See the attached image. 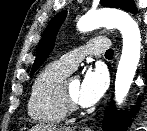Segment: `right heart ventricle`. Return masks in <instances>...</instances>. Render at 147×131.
<instances>
[{
	"mask_svg": "<svg viewBox=\"0 0 147 131\" xmlns=\"http://www.w3.org/2000/svg\"><path fill=\"white\" fill-rule=\"evenodd\" d=\"M70 71L55 61L43 67L35 77L27 104L29 116L38 123L56 124L67 115L61 98V84Z\"/></svg>",
	"mask_w": 147,
	"mask_h": 131,
	"instance_id": "right-heart-ventricle-1",
	"label": "right heart ventricle"
}]
</instances>
